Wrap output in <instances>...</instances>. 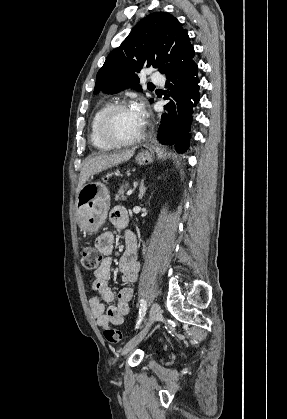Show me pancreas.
<instances>
[{"label": "pancreas", "mask_w": 287, "mask_h": 419, "mask_svg": "<svg viewBox=\"0 0 287 419\" xmlns=\"http://www.w3.org/2000/svg\"><path fill=\"white\" fill-rule=\"evenodd\" d=\"M128 184H122L118 190V193L115 196V200H125L124 192L127 190Z\"/></svg>", "instance_id": "pancreas-1"}]
</instances>
